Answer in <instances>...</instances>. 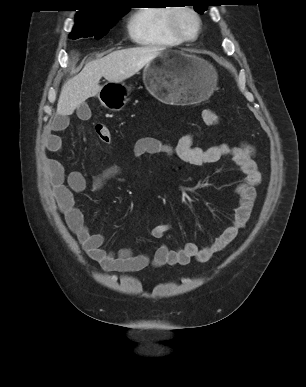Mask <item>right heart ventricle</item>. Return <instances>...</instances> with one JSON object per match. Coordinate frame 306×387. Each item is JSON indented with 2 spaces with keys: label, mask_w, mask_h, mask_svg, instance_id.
<instances>
[{
  "label": "right heart ventricle",
  "mask_w": 306,
  "mask_h": 387,
  "mask_svg": "<svg viewBox=\"0 0 306 387\" xmlns=\"http://www.w3.org/2000/svg\"><path fill=\"white\" fill-rule=\"evenodd\" d=\"M173 7L149 6L136 10L127 22L130 39L150 48H171L183 43L170 30L169 17Z\"/></svg>",
  "instance_id": "1"
}]
</instances>
